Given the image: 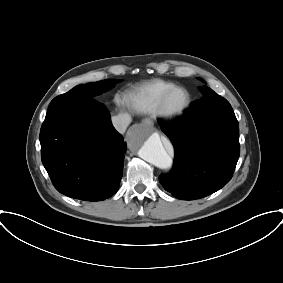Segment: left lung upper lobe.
Returning <instances> with one entry per match:
<instances>
[{
	"label": "left lung upper lobe",
	"instance_id": "5c2ea615",
	"mask_svg": "<svg viewBox=\"0 0 283 283\" xmlns=\"http://www.w3.org/2000/svg\"><path fill=\"white\" fill-rule=\"evenodd\" d=\"M201 91H202L204 98H208L211 95H213V93H215L212 89L208 88L207 86H203L201 88ZM226 130L231 131V132H239V125H238V121L235 117V114L231 118V121L229 122V124L226 126Z\"/></svg>",
	"mask_w": 283,
	"mask_h": 283
}]
</instances>
